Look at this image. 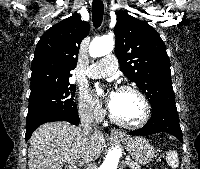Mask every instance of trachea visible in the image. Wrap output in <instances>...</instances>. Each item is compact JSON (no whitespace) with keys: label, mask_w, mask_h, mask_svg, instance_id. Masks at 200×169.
<instances>
[{"label":"trachea","mask_w":200,"mask_h":169,"mask_svg":"<svg viewBox=\"0 0 200 169\" xmlns=\"http://www.w3.org/2000/svg\"><path fill=\"white\" fill-rule=\"evenodd\" d=\"M104 5L101 0H94L92 3V21L95 28H98L103 20Z\"/></svg>","instance_id":"trachea-1"}]
</instances>
